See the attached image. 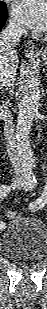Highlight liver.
<instances>
[{
	"label": "liver",
	"instance_id": "obj_1",
	"mask_svg": "<svg viewBox=\"0 0 47 309\" xmlns=\"http://www.w3.org/2000/svg\"><path fill=\"white\" fill-rule=\"evenodd\" d=\"M0 56H1V52H0ZM18 64H19V60H18L17 57L10 62L11 67H13L15 69V71L18 68ZM0 66H1V57H0Z\"/></svg>",
	"mask_w": 47,
	"mask_h": 309
}]
</instances>
